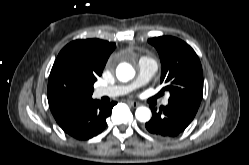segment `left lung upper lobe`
I'll use <instances>...</instances> for the list:
<instances>
[{"instance_id": "1", "label": "left lung upper lobe", "mask_w": 249, "mask_h": 165, "mask_svg": "<svg viewBox=\"0 0 249 165\" xmlns=\"http://www.w3.org/2000/svg\"><path fill=\"white\" fill-rule=\"evenodd\" d=\"M158 51L163 91L170 93L169 102L198 110L203 96L202 66L195 51L184 41L161 36L148 40Z\"/></svg>"}]
</instances>
